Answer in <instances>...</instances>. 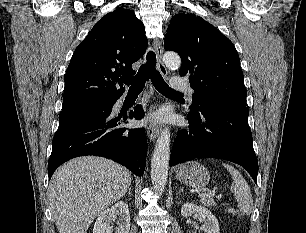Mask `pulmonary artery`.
Wrapping results in <instances>:
<instances>
[{
    "label": "pulmonary artery",
    "mask_w": 306,
    "mask_h": 233,
    "mask_svg": "<svg viewBox=\"0 0 306 233\" xmlns=\"http://www.w3.org/2000/svg\"><path fill=\"white\" fill-rule=\"evenodd\" d=\"M172 89L175 91H181L188 93L189 95H192L194 93V90L188 85L186 80L182 78H173L171 80Z\"/></svg>",
    "instance_id": "e3ab8cb5"
}]
</instances>
